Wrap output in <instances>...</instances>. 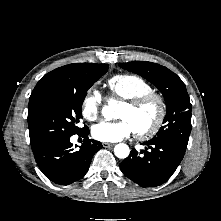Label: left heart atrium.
<instances>
[{
  "mask_svg": "<svg viewBox=\"0 0 221 221\" xmlns=\"http://www.w3.org/2000/svg\"><path fill=\"white\" fill-rule=\"evenodd\" d=\"M134 132L131 123L126 119L114 122L103 121L92 127V136L101 142H118Z\"/></svg>",
  "mask_w": 221,
  "mask_h": 221,
  "instance_id": "obj_1",
  "label": "left heart atrium"
}]
</instances>
